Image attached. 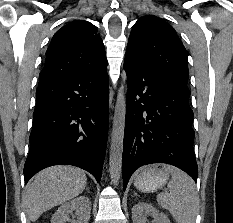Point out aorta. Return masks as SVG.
I'll use <instances>...</instances> for the list:
<instances>
[{
  "label": "aorta",
  "mask_w": 233,
  "mask_h": 223,
  "mask_svg": "<svg viewBox=\"0 0 233 223\" xmlns=\"http://www.w3.org/2000/svg\"><path fill=\"white\" fill-rule=\"evenodd\" d=\"M125 113L126 98L124 96V88L121 86L115 104L109 155V171L114 185H118L121 173Z\"/></svg>",
  "instance_id": "762f6f07"
}]
</instances>
